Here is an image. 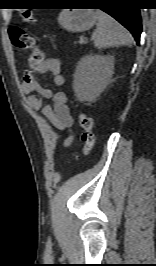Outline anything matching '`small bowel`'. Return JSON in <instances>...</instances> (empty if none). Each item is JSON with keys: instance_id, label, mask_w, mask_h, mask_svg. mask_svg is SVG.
I'll list each match as a JSON object with an SVG mask.
<instances>
[{"instance_id": "small-bowel-1", "label": "small bowel", "mask_w": 156, "mask_h": 266, "mask_svg": "<svg viewBox=\"0 0 156 266\" xmlns=\"http://www.w3.org/2000/svg\"><path fill=\"white\" fill-rule=\"evenodd\" d=\"M61 61L58 58H49L41 64L27 69L23 76L22 92L29 95L30 106L47 117L53 126L60 132H67L64 141L66 146L73 141V118L67 103V96L63 92H53L44 88L36 79L37 74H50L54 84L61 87L65 83L61 75Z\"/></svg>"}]
</instances>
